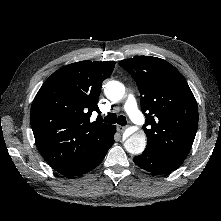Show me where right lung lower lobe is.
Returning <instances> with one entry per match:
<instances>
[{
    "instance_id": "98d812e1",
    "label": "right lung lower lobe",
    "mask_w": 221,
    "mask_h": 221,
    "mask_svg": "<svg viewBox=\"0 0 221 221\" xmlns=\"http://www.w3.org/2000/svg\"><path fill=\"white\" fill-rule=\"evenodd\" d=\"M115 131H116V127L113 125L111 128L110 136L108 138V142H107L106 146L102 150H100L98 153H96L91 158L83 161L82 163H79L73 167L66 169V170L59 171V173L66 175V176H77V175L85 174V173L91 171L92 169H94L96 166H98L102 162L107 151L114 143Z\"/></svg>"
}]
</instances>
